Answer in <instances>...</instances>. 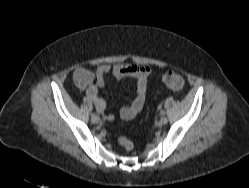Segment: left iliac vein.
Masks as SVG:
<instances>
[{
	"label": "left iliac vein",
	"mask_w": 249,
	"mask_h": 188,
	"mask_svg": "<svg viewBox=\"0 0 249 188\" xmlns=\"http://www.w3.org/2000/svg\"><path fill=\"white\" fill-rule=\"evenodd\" d=\"M160 124L161 125H165V124H167V122H168V119L165 117V116H162L161 118H160Z\"/></svg>",
	"instance_id": "4c4485c4"
}]
</instances>
